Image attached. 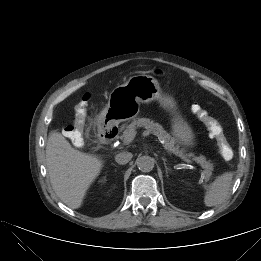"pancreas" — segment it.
Returning <instances> with one entry per match:
<instances>
[{"instance_id":"obj_1","label":"pancreas","mask_w":261,"mask_h":261,"mask_svg":"<svg viewBox=\"0 0 261 261\" xmlns=\"http://www.w3.org/2000/svg\"><path fill=\"white\" fill-rule=\"evenodd\" d=\"M138 127H144L147 131L157 136L160 140H163L164 147L166 150L178 155H184L183 151L179 150L178 146H175V138H173L169 133H167L160 124L155 123L153 120H150L148 118H134L131 121V123L128 126H126V129L123 132V137L128 131L136 130ZM188 156L192 155L190 154ZM193 159L197 163H199L202 166V168L205 169L204 178L205 180H209L212 175L213 164H211L209 161H206V158L204 156L194 157Z\"/></svg>"}]
</instances>
